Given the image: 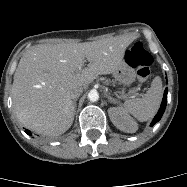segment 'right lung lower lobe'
I'll list each match as a JSON object with an SVG mask.
<instances>
[{
  "instance_id": "98d812e1",
  "label": "right lung lower lobe",
  "mask_w": 187,
  "mask_h": 187,
  "mask_svg": "<svg viewBox=\"0 0 187 187\" xmlns=\"http://www.w3.org/2000/svg\"><path fill=\"white\" fill-rule=\"evenodd\" d=\"M25 132H26L28 135H30V136L32 135V134L30 133V131H25Z\"/></svg>"
}]
</instances>
